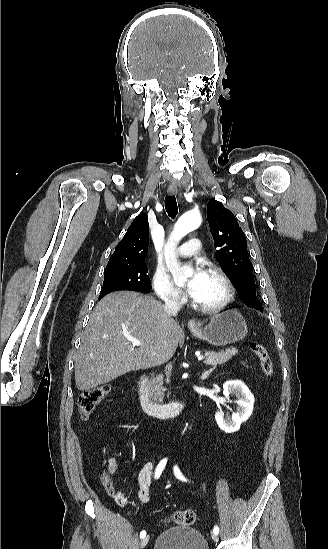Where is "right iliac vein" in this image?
Listing matches in <instances>:
<instances>
[{
	"label": "right iliac vein",
	"mask_w": 328,
	"mask_h": 549,
	"mask_svg": "<svg viewBox=\"0 0 328 549\" xmlns=\"http://www.w3.org/2000/svg\"><path fill=\"white\" fill-rule=\"evenodd\" d=\"M149 540H150V536H149V535H146L145 537H143V538L141 539V542H140V547H141V548H144V547L148 544Z\"/></svg>",
	"instance_id": "right-iliac-vein-1"
}]
</instances>
